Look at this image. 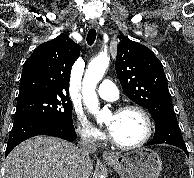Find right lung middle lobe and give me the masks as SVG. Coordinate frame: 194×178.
<instances>
[{
  "label": "right lung middle lobe",
  "instance_id": "1",
  "mask_svg": "<svg viewBox=\"0 0 194 178\" xmlns=\"http://www.w3.org/2000/svg\"><path fill=\"white\" fill-rule=\"evenodd\" d=\"M29 117L45 118L58 123L72 122V102L65 95L17 101L14 120Z\"/></svg>",
  "mask_w": 194,
  "mask_h": 178
}]
</instances>
